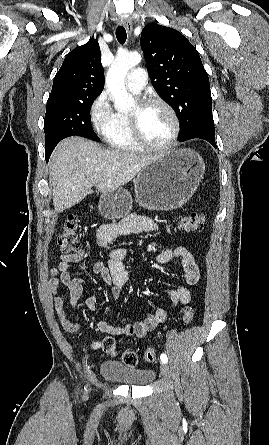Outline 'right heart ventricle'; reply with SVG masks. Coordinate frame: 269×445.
Listing matches in <instances>:
<instances>
[{"instance_id": "obj_1", "label": "right heart ventricle", "mask_w": 269, "mask_h": 445, "mask_svg": "<svg viewBox=\"0 0 269 445\" xmlns=\"http://www.w3.org/2000/svg\"><path fill=\"white\" fill-rule=\"evenodd\" d=\"M101 132L105 141L116 150L124 152H138L141 150V147L133 138L127 112H114Z\"/></svg>"}]
</instances>
